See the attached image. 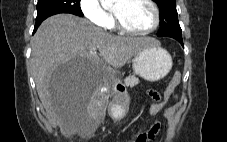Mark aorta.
I'll return each mask as SVG.
<instances>
[{
	"label": "aorta",
	"mask_w": 227,
	"mask_h": 142,
	"mask_svg": "<svg viewBox=\"0 0 227 142\" xmlns=\"http://www.w3.org/2000/svg\"><path fill=\"white\" fill-rule=\"evenodd\" d=\"M114 2H115V0H101V3H102V5L104 7L110 5V4L114 3Z\"/></svg>",
	"instance_id": "obj_1"
}]
</instances>
